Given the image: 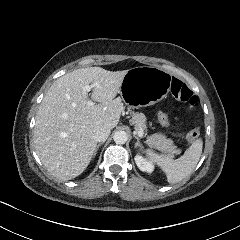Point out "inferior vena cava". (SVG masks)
Here are the masks:
<instances>
[{
  "mask_svg": "<svg viewBox=\"0 0 240 240\" xmlns=\"http://www.w3.org/2000/svg\"><path fill=\"white\" fill-rule=\"evenodd\" d=\"M110 135V129L100 128L95 132L94 138L96 142H105Z\"/></svg>",
  "mask_w": 240,
  "mask_h": 240,
  "instance_id": "1",
  "label": "inferior vena cava"
}]
</instances>
